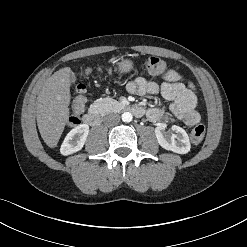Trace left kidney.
<instances>
[{
    "label": "left kidney",
    "instance_id": "5707ae66",
    "mask_svg": "<svg viewBox=\"0 0 247 247\" xmlns=\"http://www.w3.org/2000/svg\"><path fill=\"white\" fill-rule=\"evenodd\" d=\"M172 130L176 134H171L166 131V126L164 124H159L155 128V135L159 145L174 153L186 154L190 151L191 145L189 141L188 134L186 131L179 127L173 126Z\"/></svg>",
    "mask_w": 247,
    "mask_h": 247
}]
</instances>
